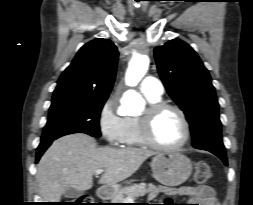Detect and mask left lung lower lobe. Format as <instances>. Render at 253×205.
Segmentation results:
<instances>
[{"instance_id": "1", "label": "left lung lower lobe", "mask_w": 253, "mask_h": 205, "mask_svg": "<svg viewBox=\"0 0 253 205\" xmlns=\"http://www.w3.org/2000/svg\"><path fill=\"white\" fill-rule=\"evenodd\" d=\"M207 151H210L211 153H213L214 155L219 157L224 162L225 165H228L226 154L219 153V152H216V151H211V150H207Z\"/></svg>"}]
</instances>
